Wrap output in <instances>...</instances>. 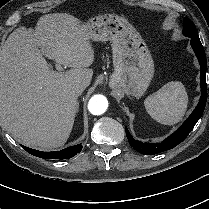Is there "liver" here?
<instances>
[{"label": "liver", "mask_w": 209, "mask_h": 209, "mask_svg": "<svg viewBox=\"0 0 209 209\" xmlns=\"http://www.w3.org/2000/svg\"><path fill=\"white\" fill-rule=\"evenodd\" d=\"M82 25L66 13L47 14L35 30L20 27L3 44L0 121L18 142L51 149L69 138L78 110L75 86H88L93 76L94 50ZM43 55L72 69L55 72Z\"/></svg>", "instance_id": "obj_1"}]
</instances>
